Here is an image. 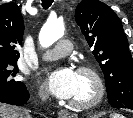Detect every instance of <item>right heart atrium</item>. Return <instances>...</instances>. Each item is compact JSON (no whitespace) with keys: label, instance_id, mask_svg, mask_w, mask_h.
<instances>
[{"label":"right heart atrium","instance_id":"d8ad5b80","mask_svg":"<svg viewBox=\"0 0 133 118\" xmlns=\"http://www.w3.org/2000/svg\"><path fill=\"white\" fill-rule=\"evenodd\" d=\"M39 95H40L41 97H45V96H46V92H45V90H44L43 88H40V89H39Z\"/></svg>","mask_w":133,"mask_h":118}]
</instances>
